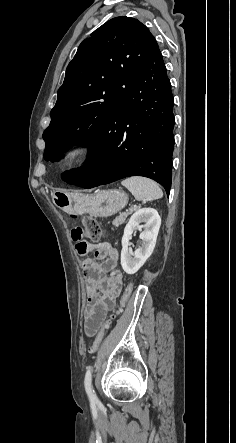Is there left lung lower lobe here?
I'll return each instance as SVG.
<instances>
[{
  "mask_svg": "<svg viewBox=\"0 0 236 443\" xmlns=\"http://www.w3.org/2000/svg\"><path fill=\"white\" fill-rule=\"evenodd\" d=\"M173 95L158 45L118 106L93 139L83 167L62 179L93 188L129 176H144L171 187L174 147Z\"/></svg>",
  "mask_w": 236,
  "mask_h": 443,
  "instance_id": "0a47b994",
  "label": "left lung lower lobe"
}]
</instances>
